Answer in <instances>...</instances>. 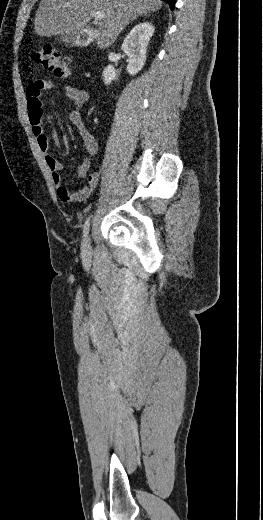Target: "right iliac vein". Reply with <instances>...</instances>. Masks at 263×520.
I'll return each instance as SVG.
<instances>
[{
  "label": "right iliac vein",
  "mask_w": 263,
  "mask_h": 520,
  "mask_svg": "<svg viewBox=\"0 0 263 520\" xmlns=\"http://www.w3.org/2000/svg\"><path fill=\"white\" fill-rule=\"evenodd\" d=\"M90 251V239L87 238L85 242L82 244V254L84 256L88 255Z\"/></svg>",
  "instance_id": "63e3f726"
}]
</instances>
